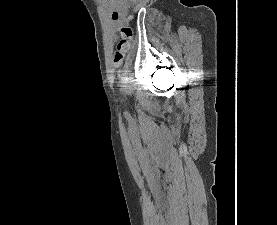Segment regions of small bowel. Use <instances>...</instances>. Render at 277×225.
I'll return each mask as SVG.
<instances>
[{"mask_svg":"<svg viewBox=\"0 0 277 225\" xmlns=\"http://www.w3.org/2000/svg\"><path fill=\"white\" fill-rule=\"evenodd\" d=\"M120 17H121V8L112 13V18L113 19L118 20V19H120Z\"/></svg>","mask_w":277,"mask_h":225,"instance_id":"small-bowel-1","label":"small bowel"}]
</instances>
